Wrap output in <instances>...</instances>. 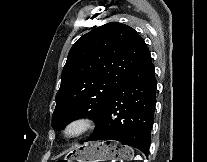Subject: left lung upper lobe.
Wrapping results in <instances>:
<instances>
[{"instance_id":"obj_1","label":"left lung upper lobe","mask_w":207,"mask_h":162,"mask_svg":"<svg viewBox=\"0 0 207 162\" xmlns=\"http://www.w3.org/2000/svg\"><path fill=\"white\" fill-rule=\"evenodd\" d=\"M148 52L137 32L118 22L83 35L63 68L52 127L61 129L83 115L97 121L110 97Z\"/></svg>"}]
</instances>
